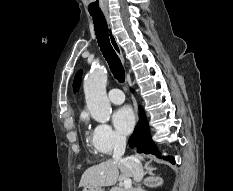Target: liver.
Instances as JSON below:
<instances>
[{"mask_svg": "<svg viewBox=\"0 0 233 191\" xmlns=\"http://www.w3.org/2000/svg\"><path fill=\"white\" fill-rule=\"evenodd\" d=\"M143 160V156L136 155ZM120 170V173H119ZM131 171L120 161L107 160L88 168L81 177L80 187H108L113 186L118 180L128 179Z\"/></svg>", "mask_w": 233, "mask_h": 191, "instance_id": "liver-1", "label": "liver"}]
</instances>
